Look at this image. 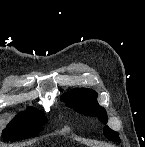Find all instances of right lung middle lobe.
<instances>
[{"mask_svg":"<svg viewBox=\"0 0 145 147\" xmlns=\"http://www.w3.org/2000/svg\"><path fill=\"white\" fill-rule=\"evenodd\" d=\"M46 117L33 107H28L27 111L20 113L3 131L5 140L17 141L36 136L43 125L46 123Z\"/></svg>","mask_w":145,"mask_h":147,"instance_id":"1","label":"right lung middle lobe"}]
</instances>
